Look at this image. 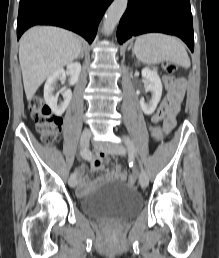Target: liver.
Returning a JSON list of instances; mask_svg holds the SVG:
<instances>
[{
	"label": "liver",
	"instance_id": "6515ba94",
	"mask_svg": "<svg viewBox=\"0 0 219 258\" xmlns=\"http://www.w3.org/2000/svg\"><path fill=\"white\" fill-rule=\"evenodd\" d=\"M82 45L71 32L57 27H33L20 39L19 61L27 100L56 70L74 61Z\"/></svg>",
	"mask_w": 219,
	"mask_h": 258
}]
</instances>
